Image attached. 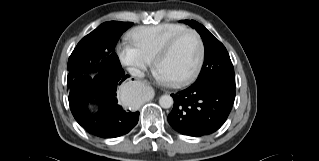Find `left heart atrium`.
Returning <instances> with one entry per match:
<instances>
[{
    "mask_svg": "<svg viewBox=\"0 0 319 161\" xmlns=\"http://www.w3.org/2000/svg\"><path fill=\"white\" fill-rule=\"evenodd\" d=\"M156 76L161 81H165L166 80V78L159 71H157Z\"/></svg>",
    "mask_w": 319,
    "mask_h": 161,
    "instance_id": "1",
    "label": "left heart atrium"
}]
</instances>
